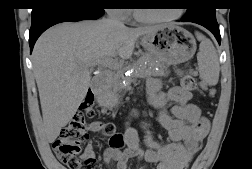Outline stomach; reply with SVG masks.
<instances>
[{"label":"stomach","mask_w":252,"mask_h":169,"mask_svg":"<svg viewBox=\"0 0 252 169\" xmlns=\"http://www.w3.org/2000/svg\"><path fill=\"white\" fill-rule=\"evenodd\" d=\"M140 43L165 65L185 62L196 51V40L193 35L178 25H163L156 31L143 35ZM105 104L116 105V96L112 93V96L105 99Z\"/></svg>","instance_id":"obj_1"}]
</instances>
